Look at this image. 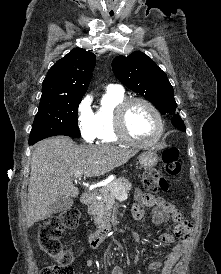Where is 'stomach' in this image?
Segmentation results:
<instances>
[{
	"label": "stomach",
	"mask_w": 221,
	"mask_h": 274,
	"mask_svg": "<svg viewBox=\"0 0 221 274\" xmlns=\"http://www.w3.org/2000/svg\"><path fill=\"white\" fill-rule=\"evenodd\" d=\"M139 163L144 168H150L156 165L158 162V155L153 150H147L142 152L138 156Z\"/></svg>",
	"instance_id": "0dacf381"
}]
</instances>
